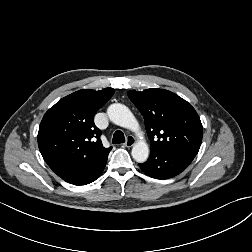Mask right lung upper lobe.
I'll return each mask as SVG.
<instances>
[{
	"label": "right lung upper lobe",
	"mask_w": 252,
	"mask_h": 252,
	"mask_svg": "<svg viewBox=\"0 0 252 252\" xmlns=\"http://www.w3.org/2000/svg\"><path fill=\"white\" fill-rule=\"evenodd\" d=\"M114 89H82L51 107L38 132L39 150L57 175L89 163L106 161L111 147L100 140L94 115L114 94Z\"/></svg>",
	"instance_id": "right-lung-upper-lobe-1"
}]
</instances>
